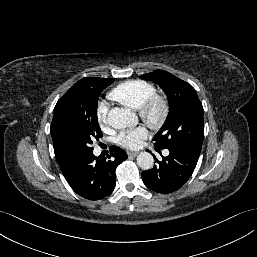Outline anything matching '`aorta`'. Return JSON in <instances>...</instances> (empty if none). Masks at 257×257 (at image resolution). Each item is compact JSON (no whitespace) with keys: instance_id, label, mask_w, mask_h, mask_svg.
I'll return each instance as SVG.
<instances>
[{"instance_id":"762f6f07","label":"aorta","mask_w":257,"mask_h":257,"mask_svg":"<svg viewBox=\"0 0 257 257\" xmlns=\"http://www.w3.org/2000/svg\"><path fill=\"white\" fill-rule=\"evenodd\" d=\"M108 123L115 129H123L138 123L137 115L130 109L115 107L108 113ZM137 164L143 170H149L154 165V158L149 152H141L137 156Z\"/></svg>"}]
</instances>
